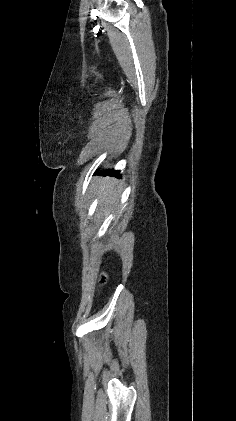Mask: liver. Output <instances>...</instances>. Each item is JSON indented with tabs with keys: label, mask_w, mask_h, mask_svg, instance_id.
<instances>
[{
	"label": "liver",
	"mask_w": 236,
	"mask_h": 421,
	"mask_svg": "<svg viewBox=\"0 0 236 421\" xmlns=\"http://www.w3.org/2000/svg\"><path fill=\"white\" fill-rule=\"evenodd\" d=\"M99 188L100 190L98 192H101L99 204L101 202H108V206L105 208V211H108L110 204L115 200V196L122 190V182L118 178L104 176V178L99 180ZM102 211H104V208H102Z\"/></svg>",
	"instance_id": "obj_1"
}]
</instances>
